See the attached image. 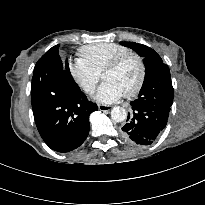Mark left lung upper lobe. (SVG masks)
I'll list each match as a JSON object with an SVG mask.
<instances>
[{
  "label": "left lung upper lobe",
  "mask_w": 205,
  "mask_h": 205,
  "mask_svg": "<svg viewBox=\"0 0 205 205\" xmlns=\"http://www.w3.org/2000/svg\"><path fill=\"white\" fill-rule=\"evenodd\" d=\"M143 57L146 74L138 101L153 104L171 106L174 89L171 82L169 67L162 62L161 57L150 47L134 42H120Z\"/></svg>",
  "instance_id": "1"
}]
</instances>
